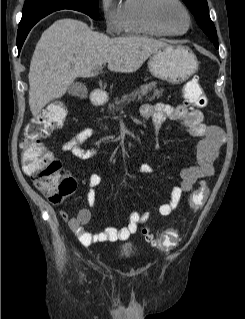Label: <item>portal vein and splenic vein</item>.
I'll use <instances>...</instances> for the list:
<instances>
[{
    "mask_svg": "<svg viewBox=\"0 0 245 319\" xmlns=\"http://www.w3.org/2000/svg\"><path fill=\"white\" fill-rule=\"evenodd\" d=\"M103 67L102 66H99L96 70H101Z\"/></svg>",
    "mask_w": 245,
    "mask_h": 319,
    "instance_id": "1",
    "label": "portal vein and splenic vein"
}]
</instances>
